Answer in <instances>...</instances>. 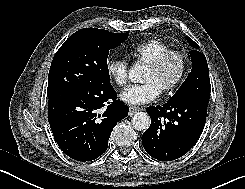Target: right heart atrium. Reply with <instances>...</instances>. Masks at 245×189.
<instances>
[{"label": "right heart atrium", "instance_id": "d8ad5b80", "mask_svg": "<svg viewBox=\"0 0 245 189\" xmlns=\"http://www.w3.org/2000/svg\"><path fill=\"white\" fill-rule=\"evenodd\" d=\"M105 69L111 80L118 86H124L128 80V62L123 58L109 57Z\"/></svg>", "mask_w": 245, "mask_h": 189}]
</instances>
